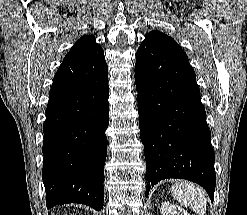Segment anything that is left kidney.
<instances>
[{"label":"left kidney","mask_w":247,"mask_h":215,"mask_svg":"<svg viewBox=\"0 0 247 215\" xmlns=\"http://www.w3.org/2000/svg\"><path fill=\"white\" fill-rule=\"evenodd\" d=\"M162 215H190L184 208L170 202H163L161 205Z\"/></svg>","instance_id":"5707ae66"}]
</instances>
